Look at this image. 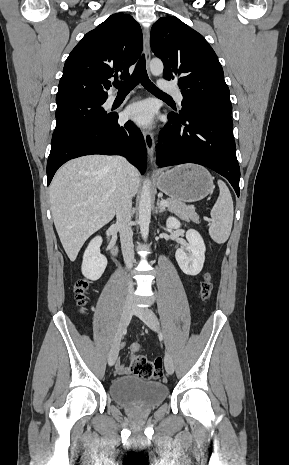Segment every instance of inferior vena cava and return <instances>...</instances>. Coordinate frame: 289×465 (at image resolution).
Segmentation results:
<instances>
[{
	"label": "inferior vena cava",
	"mask_w": 289,
	"mask_h": 465,
	"mask_svg": "<svg viewBox=\"0 0 289 465\" xmlns=\"http://www.w3.org/2000/svg\"><path fill=\"white\" fill-rule=\"evenodd\" d=\"M112 163L118 172L117 179V206H116V225L120 232L121 249L124 262L127 268H132L134 260V250L132 241V230L130 226L132 197L129 189L126 168L128 162L121 156H113ZM133 284L128 282V294L132 296Z\"/></svg>",
	"instance_id": "inferior-vena-cava-1"
}]
</instances>
